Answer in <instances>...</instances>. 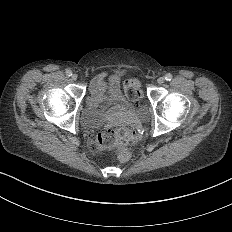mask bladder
<instances>
[{
    "label": "bladder",
    "mask_w": 232,
    "mask_h": 232,
    "mask_svg": "<svg viewBox=\"0 0 232 232\" xmlns=\"http://www.w3.org/2000/svg\"><path fill=\"white\" fill-rule=\"evenodd\" d=\"M122 74L114 72L108 77L106 100L115 108L124 109L132 112L137 117L144 119L148 115L145 105H134L122 94L120 89ZM105 121V105L90 106L85 108L80 115L81 125L85 128H97Z\"/></svg>",
    "instance_id": "1"
}]
</instances>
